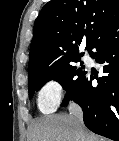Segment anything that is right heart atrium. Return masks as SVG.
I'll use <instances>...</instances> for the list:
<instances>
[{
  "label": "right heart atrium",
  "instance_id": "right-heart-atrium-1",
  "mask_svg": "<svg viewBox=\"0 0 119 141\" xmlns=\"http://www.w3.org/2000/svg\"><path fill=\"white\" fill-rule=\"evenodd\" d=\"M63 95L64 88L60 80L55 78L47 80L38 92L40 108L46 112L52 111L59 105Z\"/></svg>",
  "mask_w": 119,
  "mask_h": 141
}]
</instances>
